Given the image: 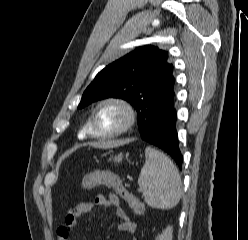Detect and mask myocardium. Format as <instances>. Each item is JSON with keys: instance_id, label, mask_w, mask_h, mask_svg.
Masks as SVG:
<instances>
[{"instance_id": "myocardium-1", "label": "myocardium", "mask_w": 248, "mask_h": 240, "mask_svg": "<svg viewBox=\"0 0 248 240\" xmlns=\"http://www.w3.org/2000/svg\"><path fill=\"white\" fill-rule=\"evenodd\" d=\"M104 106H115L122 110V112L125 115V121L124 123L115 131L110 133L101 134L98 133L95 130V117L99 109H101ZM136 120V111L133 107V105L127 101L124 98L117 97V96H111L106 97L102 100H100L94 109L92 110L90 119H89V135L95 138L99 139H111L114 137H117L125 132H127L131 127L133 126L134 122Z\"/></svg>"}]
</instances>
